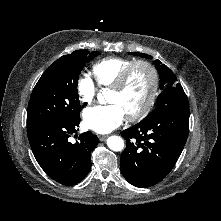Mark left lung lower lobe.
<instances>
[{
  "mask_svg": "<svg viewBox=\"0 0 221 221\" xmlns=\"http://www.w3.org/2000/svg\"><path fill=\"white\" fill-rule=\"evenodd\" d=\"M189 132V103L185 93L168 98L155 116L124 130L126 148L120 158L125 179L149 187L164 179L176 164Z\"/></svg>",
  "mask_w": 221,
  "mask_h": 221,
  "instance_id": "obj_1",
  "label": "left lung lower lobe"
}]
</instances>
